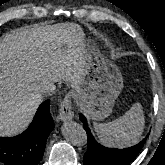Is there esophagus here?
I'll use <instances>...</instances> for the list:
<instances>
[{
	"label": "esophagus",
	"mask_w": 165,
	"mask_h": 165,
	"mask_svg": "<svg viewBox=\"0 0 165 165\" xmlns=\"http://www.w3.org/2000/svg\"><path fill=\"white\" fill-rule=\"evenodd\" d=\"M71 97L72 95L68 94L60 104L58 119L61 121H69L74 117L71 106Z\"/></svg>",
	"instance_id": "obj_1"
}]
</instances>
